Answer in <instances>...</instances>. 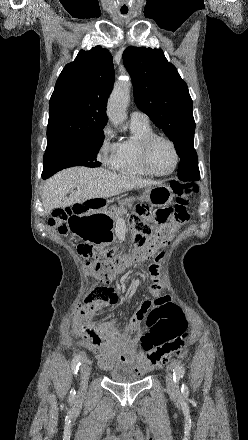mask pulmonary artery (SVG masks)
<instances>
[{"label":"pulmonary artery","mask_w":248,"mask_h":440,"mask_svg":"<svg viewBox=\"0 0 248 440\" xmlns=\"http://www.w3.org/2000/svg\"><path fill=\"white\" fill-rule=\"evenodd\" d=\"M131 122L148 124L149 117L141 111H133L131 113Z\"/></svg>","instance_id":"e3ab8cb5"}]
</instances>
